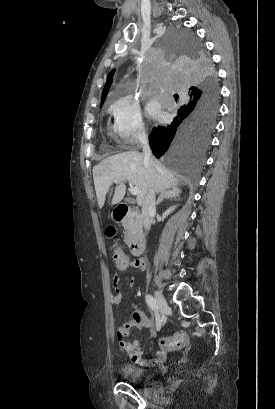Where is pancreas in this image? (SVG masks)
I'll return each mask as SVG.
<instances>
[{"instance_id": "pancreas-1", "label": "pancreas", "mask_w": 275, "mask_h": 409, "mask_svg": "<svg viewBox=\"0 0 275 409\" xmlns=\"http://www.w3.org/2000/svg\"><path fill=\"white\" fill-rule=\"evenodd\" d=\"M122 225L126 231L124 235V243H126V245H129L134 235H136L138 231H141L142 221L139 215H133V211H131V213H128L127 217H125Z\"/></svg>"}]
</instances>
